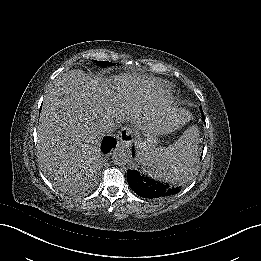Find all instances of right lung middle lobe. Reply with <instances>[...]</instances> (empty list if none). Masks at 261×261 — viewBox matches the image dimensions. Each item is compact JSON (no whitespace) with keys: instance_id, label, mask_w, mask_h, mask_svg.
I'll list each match as a JSON object with an SVG mask.
<instances>
[{"instance_id":"right-lung-middle-lobe-1","label":"right lung middle lobe","mask_w":261,"mask_h":261,"mask_svg":"<svg viewBox=\"0 0 261 261\" xmlns=\"http://www.w3.org/2000/svg\"><path fill=\"white\" fill-rule=\"evenodd\" d=\"M96 63H98V64L101 65V66H107V65L112 64V63L106 62V61H96Z\"/></svg>"}]
</instances>
